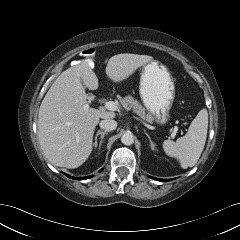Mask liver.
Segmentation results:
<instances>
[{"label":"liver","mask_w":240,"mask_h":240,"mask_svg":"<svg viewBox=\"0 0 240 240\" xmlns=\"http://www.w3.org/2000/svg\"><path fill=\"white\" fill-rule=\"evenodd\" d=\"M153 57L138 54L112 56L106 66V75L113 82L131 76ZM93 63L82 60L62 72L54 81L39 108L38 137L41 149L55 166L77 168L90 156L94 130L100 118L111 119L115 113L94 108L85 109L87 94L98 88Z\"/></svg>","instance_id":"obj_1"}]
</instances>
